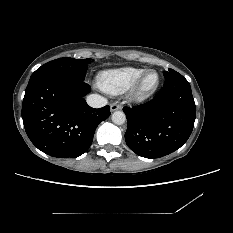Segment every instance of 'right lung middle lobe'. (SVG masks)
<instances>
[{
	"label": "right lung middle lobe",
	"mask_w": 233,
	"mask_h": 233,
	"mask_svg": "<svg viewBox=\"0 0 233 233\" xmlns=\"http://www.w3.org/2000/svg\"><path fill=\"white\" fill-rule=\"evenodd\" d=\"M91 62L90 58L87 59H74V58H59L50 61L40 68H38L32 75L29 81L42 76L48 75H65L67 77L83 81L88 69V64Z\"/></svg>",
	"instance_id": "obj_1"
}]
</instances>
